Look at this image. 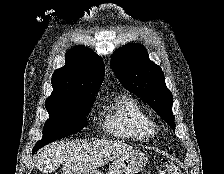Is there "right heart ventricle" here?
Instances as JSON below:
<instances>
[{"mask_svg":"<svg viewBox=\"0 0 224 174\" xmlns=\"http://www.w3.org/2000/svg\"><path fill=\"white\" fill-rule=\"evenodd\" d=\"M104 128L114 137L146 141L154 136V125L132 97L122 95L104 107Z\"/></svg>","mask_w":224,"mask_h":174,"instance_id":"right-heart-ventricle-1","label":"right heart ventricle"}]
</instances>
